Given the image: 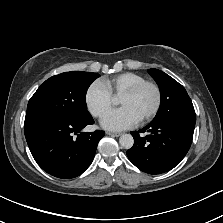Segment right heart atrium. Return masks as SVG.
Segmentation results:
<instances>
[{
  "instance_id": "obj_1",
  "label": "right heart atrium",
  "mask_w": 223,
  "mask_h": 223,
  "mask_svg": "<svg viewBox=\"0 0 223 223\" xmlns=\"http://www.w3.org/2000/svg\"><path fill=\"white\" fill-rule=\"evenodd\" d=\"M85 104L87 110L94 117H102L113 104V96L103 81L92 82L85 91Z\"/></svg>"
}]
</instances>
